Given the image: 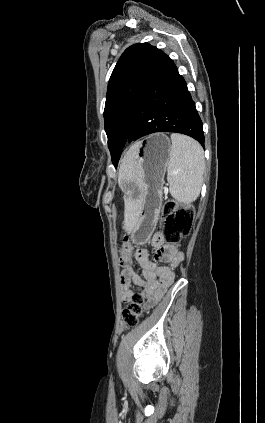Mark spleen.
I'll list each match as a JSON object with an SVG mask.
<instances>
[{
    "label": "spleen",
    "instance_id": "1",
    "mask_svg": "<svg viewBox=\"0 0 265 423\" xmlns=\"http://www.w3.org/2000/svg\"><path fill=\"white\" fill-rule=\"evenodd\" d=\"M172 152L167 166L169 192L178 202L190 204L200 194L205 171L204 152L194 139L171 134Z\"/></svg>",
    "mask_w": 265,
    "mask_h": 423
}]
</instances>
